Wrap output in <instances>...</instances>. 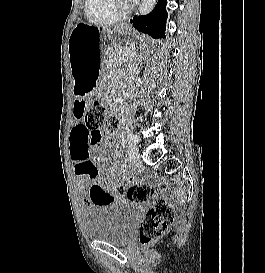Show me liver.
<instances>
[{
	"instance_id": "1",
	"label": "liver",
	"mask_w": 265,
	"mask_h": 273,
	"mask_svg": "<svg viewBox=\"0 0 265 273\" xmlns=\"http://www.w3.org/2000/svg\"><path fill=\"white\" fill-rule=\"evenodd\" d=\"M123 27H124L123 25H117V26L114 27V29H110L108 26H106V27H102V29H103V30H112V31H116V30H118V29H120V28H123Z\"/></svg>"
}]
</instances>
